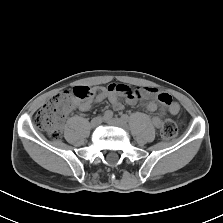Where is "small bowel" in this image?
<instances>
[{"label": "small bowel", "mask_w": 223, "mask_h": 223, "mask_svg": "<svg viewBox=\"0 0 223 223\" xmlns=\"http://www.w3.org/2000/svg\"><path fill=\"white\" fill-rule=\"evenodd\" d=\"M95 95L92 99L79 102H74V108L82 112H87L91 109L93 103H100L108 100L112 107L119 111L124 108L120 96H124L126 101L131 104L141 103V105L149 112L157 111L152 119L155 127L160 128L163 124V114L167 111L170 115H176L179 112V105L173 101L172 97L165 92H160L153 87H140L135 90L123 83H112L107 87H95ZM148 97H153L156 100L142 101Z\"/></svg>", "instance_id": "obj_1"}]
</instances>
